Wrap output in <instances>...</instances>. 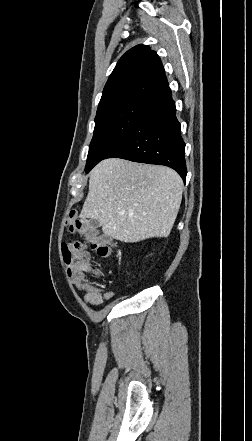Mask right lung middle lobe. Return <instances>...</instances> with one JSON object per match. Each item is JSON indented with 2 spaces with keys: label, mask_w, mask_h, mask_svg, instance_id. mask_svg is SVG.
<instances>
[{
  "label": "right lung middle lobe",
  "mask_w": 252,
  "mask_h": 441,
  "mask_svg": "<svg viewBox=\"0 0 252 441\" xmlns=\"http://www.w3.org/2000/svg\"><path fill=\"white\" fill-rule=\"evenodd\" d=\"M146 100H133L97 112L94 135L85 171L105 159L132 130L145 108Z\"/></svg>",
  "instance_id": "right-lung-middle-lobe-1"
}]
</instances>
